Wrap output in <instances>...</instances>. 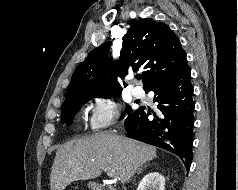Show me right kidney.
<instances>
[{
  "label": "right kidney",
  "instance_id": "1",
  "mask_svg": "<svg viewBox=\"0 0 238 190\" xmlns=\"http://www.w3.org/2000/svg\"><path fill=\"white\" fill-rule=\"evenodd\" d=\"M165 178L158 172L148 173L140 181L137 190H165Z\"/></svg>",
  "mask_w": 238,
  "mask_h": 190
}]
</instances>
